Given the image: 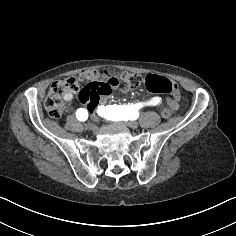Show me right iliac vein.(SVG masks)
Instances as JSON below:
<instances>
[{"mask_svg": "<svg viewBox=\"0 0 236 236\" xmlns=\"http://www.w3.org/2000/svg\"><path fill=\"white\" fill-rule=\"evenodd\" d=\"M89 129L96 130L97 129V124L96 123L89 124Z\"/></svg>", "mask_w": 236, "mask_h": 236, "instance_id": "1", "label": "right iliac vein"}]
</instances>
